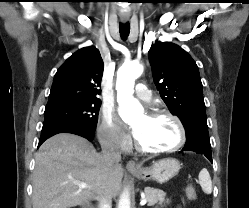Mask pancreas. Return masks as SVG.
<instances>
[{"mask_svg": "<svg viewBox=\"0 0 249 208\" xmlns=\"http://www.w3.org/2000/svg\"><path fill=\"white\" fill-rule=\"evenodd\" d=\"M145 198L147 199L148 206H153L155 204L165 205L169 203V199H165L166 193L160 189L145 187L144 189Z\"/></svg>", "mask_w": 249, "mask_h": 208, "instance_id": "1", "label": "pancreas"}]
</instances>
